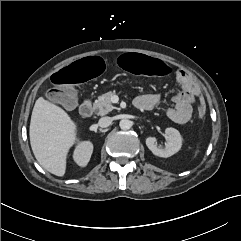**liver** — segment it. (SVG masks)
<instances>
[{
  "instance_id": "liver-1",
  "label": "liver",
  "mask_w": 241,
  "mask_h": 241,
  "mask_svg": "<svg viewBox=\"0 0 241 241\" xmlns=\"http://www.w3.org/2000/svg\"><path fill=\"white\" fill-rule=\"evenodd\" d=\"M29 136L38 163L48 172L64 176L67 153L77 140V124L61 107L40 97L32 111Z\"/></svg>"
}]
</instances>
